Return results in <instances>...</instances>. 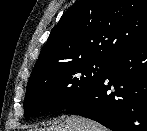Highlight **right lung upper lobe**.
<instances>
[{
  "mask_svg": "<svg viewBox=\"0 0 147 131\" xmlns=\"http://www.w3.org/2000/svg\"><path fill=\"white\" fill-rule=\"evenodd\" d=\"M147 39V0H80L52 29L31 77L86 59L112 60Z\"/></svg>",
  "mask_w": 147,
  "mask_h": 131,
  "instance_id": "1",
  "label": "right lung upper lobe"
}]
</instances>
